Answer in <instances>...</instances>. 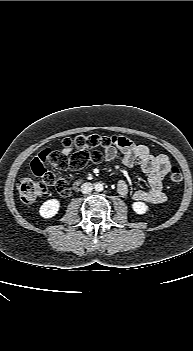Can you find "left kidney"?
<instances>
[{"label":"left kidney","instance_id":"left-kidney-1","mask_svg":"<svg viewBox=\"0 0 193 351\" xmlns=\"http://www.w3.org/2000/svg\"><path fill=\"white\" fill-rule=\"evenodd\" d=\"M133 210L137 214H145L148 211V206L144 202H134L132 204Z\"/></svg>","mask_w":193,"mask_h":351}]
</instances>
